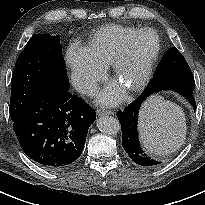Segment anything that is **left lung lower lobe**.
I'll return each instance as SVG.
<instances>
[{"mask_svg": "<svg viewBox=\"0 0 205 205\" xmlns=\"http://www.w3.org/2000/svg\"><path fill=\"white\" fill-rule=\"evenodd\" d=\"M194 89L195 82L191 71L153 78L137 100L126 107L124 111L117 113L121 124L123 148L136 164L143 167H153L161 163L148 157L140 147L138 140V116L141 106L147 98L162 90H174L185 97L196 110V103L193 98Z\"/></svg>", "mask_w": 205, "mask_h": 205, "instance_id": "left-lung-lower-lobe-1", "label": "left lung lower lobe"}]
</instances>
